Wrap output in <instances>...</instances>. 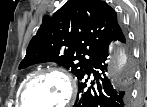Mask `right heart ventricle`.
<instances>
[{
	"label": "right heart ventricle",
	"mask_w": 147,
	"mask_h": 107,
	"mask_svg": "<svg viewBox=\"0 0 147 107\" xmlns=\"http://www.w3.org/2000/svg\"><path fill=\"white\" fill-rule=\"evenodd\" d=\"M30 74H25L22 78V80L20 81L19 87H18V94L23 86V84L26 82V80L29 78Z\"/></svg>",
	"instance_id": "obj_1"
}]
</instances>
